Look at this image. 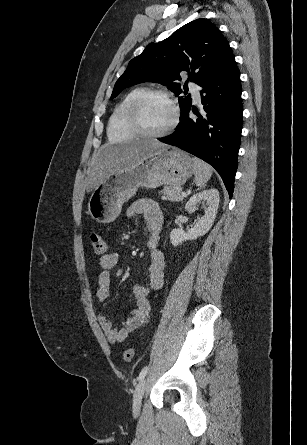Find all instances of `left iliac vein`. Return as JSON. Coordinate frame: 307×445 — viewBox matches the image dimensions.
<instances>
[{"label": "left iliac vein", "mask_w": 307, "mask_h": 445, "mask_svg": "<svg viewBox=\"0 0 307 445\" xmlns=\"http://www.w3.org/2000/svg\"><path fill=\"white\" fill-rule=\"evenodd\" d=\"M145 386L146 381L145 379H142L138 385L136 386V389L134 391L133 395V412L135 415L139 414L140 408H141V401L145 392Z\"/></svg>", "instance_id": "obj_1"}]
</instances>
